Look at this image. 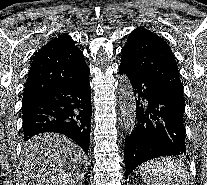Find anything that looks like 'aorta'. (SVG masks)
I'll list each match as a JSON object with an SVG mask.
<instances>
[{
    "mask_svg": "<svg viewBox=\"0 0 207 185\" xmlns=\"http://www.w3.org/2000/svg\"><path fill=\"white\" fill-rule=\"evenodd\" d=\"M118 93L124 129L130 135L136 124V100L132 84L126 75L119 78Z\"/></svg>",
    "mask_w": 207,
    "mask_h": 185,
    "instance_id": "1",
    "label": "aorta"
}]
</instances>
